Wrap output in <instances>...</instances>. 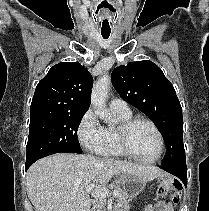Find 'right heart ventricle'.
I'll return each mask as SVG.
<instances>
[{
	"instance_id": "e07e8e85",
	"label": "right heart ventricle",
	"mask_w": 209,
	"mask_h": 211,
	"mask_svg": "<svg viewBox=\"0 0 209 211\" xmlns=\"http://www.w3.org/2000/svg\"><path fill=\"white\" fill-rule=\"evenodd\" d=\"M120 122L128 120L132 117L130 113L115 112ZM118 127L107 126L104 127V137L98 147L96 153L104 158L123 159L125 157L122 152L118 140Z\"/></svg>"
}]
</instances>
